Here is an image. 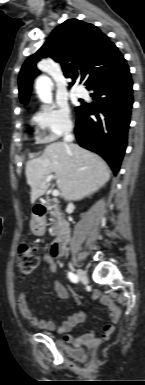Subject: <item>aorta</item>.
Masks as SVG:
<instances>
[{
	"instance_id": "762f6f07",
	"label": "aorta",
	"mask_w": 145,
	"mask_h": 385,
	"mask_svg": "<svg viewBox=\"0 0 145 385\" xmlns=\"http://www.w3.org/2000/svg\"><path fill=\"white\" fill-rule=\"evenodd\" d=\"M52 81L46 76H40L36 80V91L41 101L45 103L52 102Z\"/></svg>"
}]
</instances>
